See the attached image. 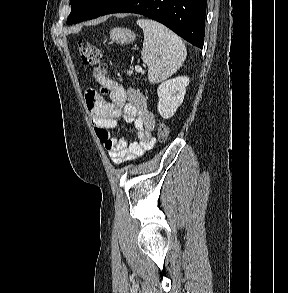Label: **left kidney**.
<instances>
[{
    "instance_id": "obj_1",
    "label": "left kidney",
    "mask_w": 288,
    "mask_h": 293,
    "mask_svg": "<svg viewBox=\"0 0 288 293\" xmlns=\"http://www.w3.org/2000/svg\"><path fill=\"white\" fill-rule=\"evenodd\" d=\"M188 84L189 78L184 76L169 79L159 85L158 112L164 119L172 117L182 104Z\"/></svg>"
}]
</instances>
